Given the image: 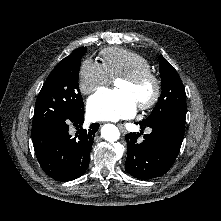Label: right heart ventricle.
<instances>
[{
	"label": "right heart ventricle",
	"instance_id": "e07e8e85",
	"mask_svg": "<svg viewBox=\"0 0 221 221\" xmlns=\"http://www.w3.org/2000/svg\"><path fill=\"white\" fill-rule=\"evenodd\" d=\"M100 59L112 79L151 69L150 62L144 56L125 48L104 49L100 54Z\"/></svg>",
	"mask_w": 221,
	"mask_h": 221
}]
</instances>
